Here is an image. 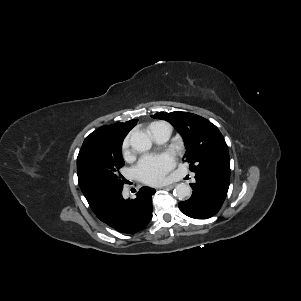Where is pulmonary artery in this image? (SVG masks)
Segmentation results:
<instances>
[{
    "instance_id": "e3ab8cb5",
    "label": "pulmonary artery",
    "mask_w": 301,
    "mask_h": 301,
    "mask_svg": "<svg viewBox=\"0 0 301 301\" xmlns=\"http://www.w3.org/2000/svg\"><path fill=\"white\" fill-rule=\"evenodd\" d=\"M171 131V126L164 122L153 123L149 127V132L152 138L159 144H163L169 139Z\"/></svg>"
}]
</instances>
